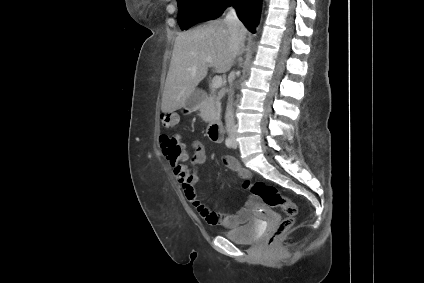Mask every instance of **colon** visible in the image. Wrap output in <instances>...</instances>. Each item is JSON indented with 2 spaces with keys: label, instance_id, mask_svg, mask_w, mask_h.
<instances>
[{
  "label": "colon",
  "instance_id": "obj_1",
  "mask_svg": "<svg viewBox=\"0 0 424 283\" xmlns=\"http://www.w3.org/2000/svg\"><path fill=\"white\" fill-rule=\"evenodd\" d=\"M179 121V116L176 113H163L161 115V123L165 129L174 128ZM160 146L163 155L172 164V166L179 165V162L184 160L185 152L183 144L176 135H161ZM242 187L249 191L254 197L261 199L266 205L270 207H280L285 215L282 221L274 228L267 230L266 241L271 247L275 246L280 237L289 230L295 222L298 214L296 204L287 196L280 193V191L265 182L245 180Z\"/></svg>",
  "mask_w": 424,
  "mask_h": 283
}]
</instances>
